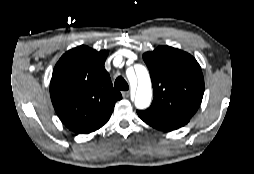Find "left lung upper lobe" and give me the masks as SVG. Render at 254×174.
I'll list each match as a JSON object with an SVG mask.
<instances>
[{"label": "left lung upper lobe", "instance_id": "obj_1", "mask_svg": "<svg viewBox=\"0 0 254 174\" xmlns=\"http://www.w3.org/2000/svg\"><path fill=\"white\" fill-rule=\"evenodd\" d=\"M148 66L154 99L150 110L190 119L199 108L204 93L201 67L190 54L169 46H159L143 54Z\"/></svg>", "mask_w": 254, "mask_h": 174}]
</instances>
